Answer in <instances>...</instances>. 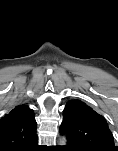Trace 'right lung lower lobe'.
<instances>
[{
    "mask_svg": "<svg viewBox=\"0 0 118 151\" xmlns=\"http://www.w3.org/2000/svg\"><path fill=\"white\" fill-rule=\"evenodd\" d=\"M35 150H39L38 146L35 144V146L33 148H31L29 151H35Z\"/></svg>",
    "mask_w": 118,
    "mask_h": 151,
    "instance_id": "right-lung-lower-lobe-1",
    "label": "right lung lower lobe"
}]
</instances>
